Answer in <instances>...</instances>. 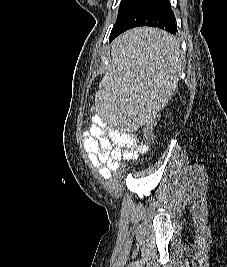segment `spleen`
<instances>
[{"mask_svg": "<svg viewBox=\"0 0 227 267\" xmlns=\"http://www.w3.org/2000/svg\"><path fill=\"white\" fill-rule=\"evenodd\" d=\"M112 63H106L105 76L99 82L96 100L100 115H157L159 107L172 96L182 69L180 45L165 31L143 25L127 29L110 46ZM156 106H129L130 104ZM108 129H127V125H145L149 116H102Z\"/></svg>", "mask_w": 227, "mask_h": 267, "instance_id": "3e777b00", "label": "spleen"}]
</instances>
